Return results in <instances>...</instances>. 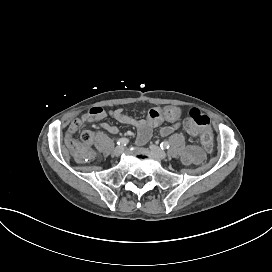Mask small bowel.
Returning <instances> with one entry per match:
<instances>
[{"label":"small bowel","mask_w":272,"mask_h":272,"mask_svg":"<svg viewBox=\"0 0 272 272\" xmlns=\"http://www.w3.org/2000/svg\"><path fill=\"white\" fill-rule=\"evenodd\" d=\"M180 114V109L177 107L152 108L149 110L146 119H138L127 114L120 108L108 111L100 106H93L71 123L66 141L68 144L71 142L75 144L72 136L85 123H96L107 132L117 134L119 131L118 127L104 122L106 118L111 117L121 124L135 127L138 131V142L145 143L151 136L152 128L160 126L163 122L167 124L160 128L162 136H170L176 130L180 129L184 124L180 118ZM83 132H89L93 136V133L90 131ZM201 160L202 153L198 147L193 144L188 145L183 152L184 163L187 165L198 164Z\"/></svg>","instance_id":"1"}]
</instances>
